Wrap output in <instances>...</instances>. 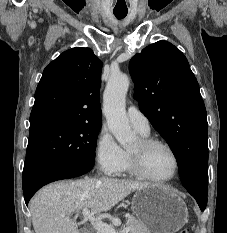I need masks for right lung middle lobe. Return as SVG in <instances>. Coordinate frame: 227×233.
<instances>
[{"label":"right lung middle lobe","instance_id":"obj_1","mask_svg":"<svg viewBox=\"0 0 227 233\" xmlns=\"http://www.w3.org/2000/svg\"><path fill=\"white\" fill-rule=\"evenodd\" d=\"M101 123H74L29 135L23 176L48 165L76 164L93 167Z\"/></svg>","mask_w":227,"mask_h":233}]
</instances>
